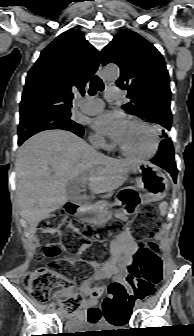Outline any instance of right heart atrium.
Wrapping results in <instances>:
<instances>
[{
	"instance_id": "right-heart-atrium-1",
	"label": "right heart atrium",
	"mask_w": 194,
	"mask_h": 336,
	"mask_svg": "<svg viewBox=\"0 0 194 336\" xmlns=\"http://www.w3.org/2000/svg\"><path fill=\"white\" fill-rule=\"evenodd\" d=\"M90 141L91 143L98 147V148H101V149H107L109 148V145L105 142V140L100 137L99 135H96V134H92L90 136Z\"/></svg>"
}]
</instances>
